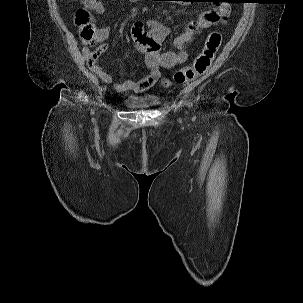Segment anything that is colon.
I'll return each instance as SVG.
<instances>
[{"label":"colon","instance_id":"5ec220e1","mask_svg":"<svg viewBox=\"0 0 303 303\" xmlns=\"http://www.w3.org/2000/svg\"><path fill=\"white\" fill-rule=\"evenodd\" d=\"M89 1L90 0H82L85 4H88ZM75 23L80 28V37L82 42L87 47L93 46L97 42L99 35L97 34V30L90 13L83 8L78 9L75 15ZM144 41L152 42V40ZM221 41V33L219 31H212L208 35L200 53L194 61L189 66L178 70L174 75V80L177 83H185L202 76L212 63L216 52L221 45Z\"/></svg>","mask_w":303,"mask_h":303}]
</instances>
